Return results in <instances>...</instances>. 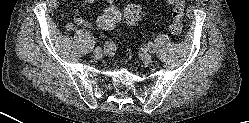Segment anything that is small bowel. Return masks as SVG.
I'll list each match as a JSON object with an SVG mask.
<instances>
[{
  "label": "small bowel",
  "instance_id": "c3829d8e",
  "mask_svg": "<svg viewBox=\"0 0 249 123\" xmlns=\"http://www.w3.org/2000/svg\"><path fill=\"white\" fill-rule=\"evenodd\" d=\"M81 1L86 4L92 5V4H95L97 0H81ZM165 1L168 4H170L168 0H165ZM103 2L111 4L112 2H114V0H103ZM92 25L93 23L91 21L84 19L80 15H75L71 22L66 23L65 27L67 30H73L75 26L91 27Z\"/></svg>",
  "mask_w": 249,
  "mask_h": 123
}]
</instances>
